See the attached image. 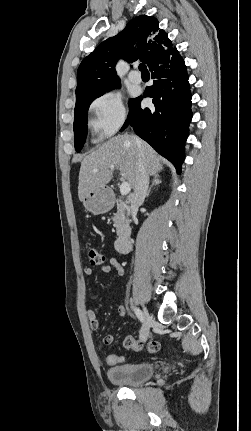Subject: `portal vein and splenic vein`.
<instances>
[{
  "label": "portal vein and splenic vein",
  "instance_id": "18ae733b",
  "mask_svg": "<svg viewBox=\"0 0 251 431\" xmlns=\"http://www.w3.org/2000/svg\"><path fill=\"white\" fill-rule=\"evenodd\" d=\"M115 167L112 165L110 166V169L113 170ZM94 172H98V169H94ZM131 191V186L128 182H122L121 186H120V193L121 195L125 196L127 194H129Z\"/></svg>",
  "mask_w": 251,
  "mask_h": 431
}]
</instances>
